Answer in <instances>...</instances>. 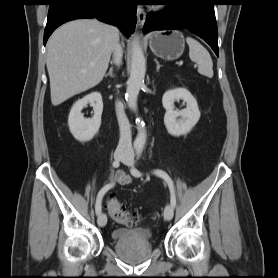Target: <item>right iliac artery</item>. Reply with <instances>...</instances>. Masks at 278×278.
I'll return each mask as SVG.
<instances>
[{
	"instance_id": "right-iliac-artery-1",
	"label": "right iliac artery",
	"mask_w": 278,
	"mask_h": 278,
	"mask_svg": "<svg viewBox=\"0 0 278 278\" xmlns=\"http://www.w3.org/2000/svg\"><path fill=\"white\" fill-rule=\"evenodd\" d=\"M120 166L119 161H114L113 162V167L118 168ZM111 188V185L104 186L98 193L97 198H96V204H95V211L96 214L99 215L101 213V203H102V198L104 194Z\"/></svg>"
}]
</instances>
